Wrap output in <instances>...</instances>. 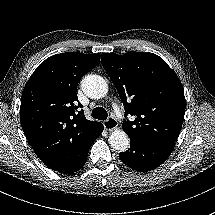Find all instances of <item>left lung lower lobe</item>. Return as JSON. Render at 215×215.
I'll use <instances>...</instances> for the list:
<instances>
[{
  "label": "left lung lower lobe",
  "mask_w": 215,
  "mask_h": 215,
  "mask_svg": "<svg viewBox=\"0 0 215 215\" xmlns=\"http://www.w3.org/2000/svg\"><path fill=\"white\" fill-rule=\"evenodd\" d=\"M175 142H142L130 139V148L120 153L124 164L136 171H150L160 166L172 153Z\"/></svg>",
  "instance_id": "left-lung-lower-lobe-1"
}]
</instances>
